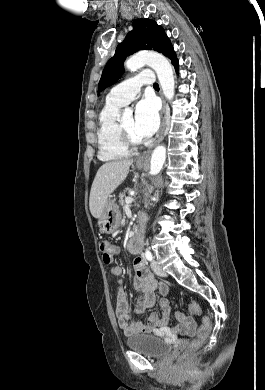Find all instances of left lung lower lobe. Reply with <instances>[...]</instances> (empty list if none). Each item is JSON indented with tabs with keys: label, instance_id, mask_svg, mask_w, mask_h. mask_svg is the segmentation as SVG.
<instances>
[{
	"label": "left lung lower lobe",
	"instance_id": "1",
	"mask_svg": "<svg viewBox=\"0 0 265 390\" xmlns=\"http://www.w3.org/2000/svg\"><path fill=\"white\" fill-rule=\"evenodd\" d=\"M171 61L175 67V70L178 71L179 63H178V59L176 58V56H174V58Z\"/></svg>",
	"mask_w": 265,
	"mask_h": 390
}]
</instances>
